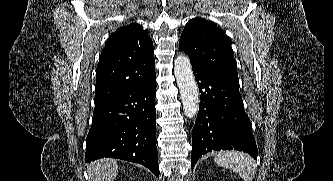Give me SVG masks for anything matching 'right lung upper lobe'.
<instances>
[{
	"label": "right lung upper lobe",
	"mask_w": 333,
	"mask_h": 181,
	"mask_svg": "<svg viewBox=\"0 0 333 181\" xmlns=\"http://www.w3.org/2000/svg\"><path fill=\"white\" fill-rule=\"evenodd\" d=\"M155 79L153 43L137 23L119 28L105 44L96 69L95 106Z\"/></svg>",
	"instance_id": "1"
}]
</instances>
